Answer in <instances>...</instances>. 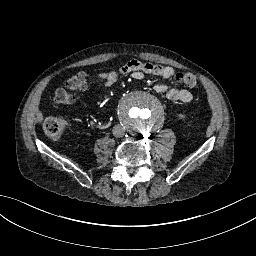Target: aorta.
I'll return each instance as SVG.
<instances>
[{"mask_svg": "<svg viewBox=\"0 0 256 256\" xmlns=\"http://www.w3.org/2000/svg\"><path fill=\"white\" fill-rule=\"evenodd\" d=\"M118 115L124 125L141 134L156 132L165 120L161 103L141 92L124 96L118 106Z\"/></svg>", "mask_w": 256, "mask_h": 256, "instance_id": "obj_1", "label": "aorta"}]
</instances>
